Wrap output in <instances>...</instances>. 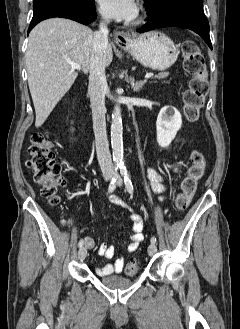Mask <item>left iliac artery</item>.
<instances>
[{
	"instance_id": "1",
	"label": "left iliac artery",
	"mask_w": 240,
	"mask_h": 329,
	"mask_svg": "<svg viewBox=\"0 0 240 329\" xmlns=\"http://www.w3.org/2000/svg\"><path fill=\"white\" fill-rule=\"evenodd\" d=\"M120 172H121V175L124 178V183H125V186L127 188V191L132 194L133 193V185H132V182H131L130 174H129L126 166H124V165L120 166ZM151 243H153V244L156 243V238L155 237L151 238Z\"/></svg>"
}]
</instances>
